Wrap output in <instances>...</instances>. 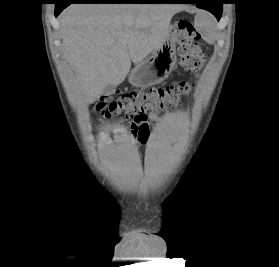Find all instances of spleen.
Returning a JSON list of instances; mask_svg holds the SVG:
<instances>
[{
    "label": "spleen",
    "instance_id": "spleen-1",
    "mask_svg": "<svg viewBox=\"0 0 279 267\" xmlns=\"http://www.w3.org/2000/svg\"><path fill=\"white\" fill-rule=\"evenodd\" d=\"M196 26L207 39L214 38L215 33H214L212 19L208 15L203 14L198 16Z\"/></svg>",
    "mask_w": 279,
    "mask_h": 267
}]
</instances>
